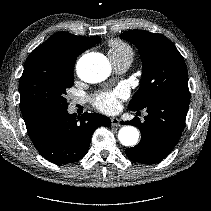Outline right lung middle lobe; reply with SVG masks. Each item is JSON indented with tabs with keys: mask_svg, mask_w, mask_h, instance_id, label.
<instances>
[{
	"mask_svg": "<svg viewBox=\"0 0 211 211\" xmlns=\"http://www.w3.org/2000/svg\"><path fill=\"white\" fill-rule=\"evenodd\" d=\"M74 66L56 61L46 51H32L19 81L22 115L38 117L68 108L66 89L73 86Z\"/></svg>",
	"mask_w": 211,
	"mask_h": 211,
	"instance_id": "obj_1",
	"label": "right lung middle lobe"
}]
</instances>
